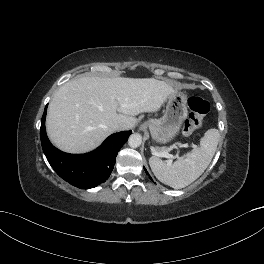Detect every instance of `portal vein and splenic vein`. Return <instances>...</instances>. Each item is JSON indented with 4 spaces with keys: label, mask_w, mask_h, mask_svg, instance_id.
Instances as JSON below:
<instances>
[{
    "label": "portal vein and splenic vein",
    "mask_w": 264,
    "mask_h": 264,
    "mask_svg": "<svg viewBox=\"0 0 264 264\" xmlns=\"http://www.w3.org/2000/svg\"><path fill=\"white\" fill-rule=\"evenodd\" d=\"M188 144H181L180 147H188ZM192 147L196 148V145H192ZM160 157H165V158H169V163L172 162V159L174 158L173 155L169 154L167 151H163L157 154Z\"/></svg>",
    "instance_id": "18ae733b"
}]
</instances>
